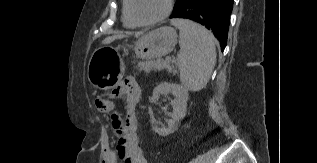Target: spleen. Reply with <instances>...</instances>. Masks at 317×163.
I'll list each match as a JSON object with an SVG mask.
<instances>
[{"label":"spleen","instance_id":"obj_1","mask_svg":"<svg viewBox=\"0 0 317 163\" xmlns=\"http://www.w3.org/2000/svg\"><path fill=\"white\" fill-rule=\"evenodd\" d=\"M179 29L180 52L177 55L180 80L190 91L206 87L216 63L213 35L201 25L186 19H173Z\"/></svg>","mask_w":317,"mask_h":163}]
</instances>
